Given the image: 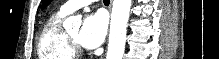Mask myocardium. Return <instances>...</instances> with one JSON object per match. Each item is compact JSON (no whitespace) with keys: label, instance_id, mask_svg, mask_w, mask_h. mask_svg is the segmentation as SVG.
Here are the masks:
<instances>
[{"label":"myocardium","instance_id":"1","mask_svg":"<svg viewBox=\"0 0 219 59\" xmlns=\"http://www.w3.org/2000/svg\"><path fill=\"white\" fill-rule=\"evenodd\" d=\"M66 37L69 43L70 48L72 49V51L75 53H83V50L80 46V44L78 43L77 40H75L74 38H72L69 34L66 33Z\"/></svg>","mask_w":219,"mask_h":59}]
</instances>
